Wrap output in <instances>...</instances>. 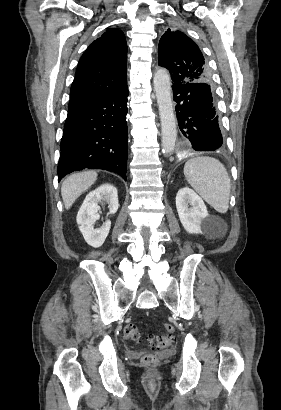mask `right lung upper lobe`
Segmentation results:
<instances>
[{
	"mask_svg": "<svg viewBox=\"0 0 281 410\" xmlns=\"http://www.w3.org/2000/svg\"><path fill=\"white\" fill-rule=\"evenodd\" d=\"M127 44L123 32L109 28L82 55L68 108L118 90L127 84Z\"/></svg>",
	"mask_w": 281,
	"mask_h": 410,
	"instance_id": "1",
	"label": "right lung upper lobe"
}]
</instances>
